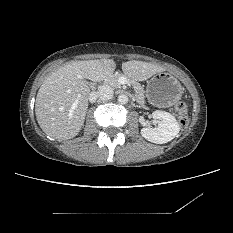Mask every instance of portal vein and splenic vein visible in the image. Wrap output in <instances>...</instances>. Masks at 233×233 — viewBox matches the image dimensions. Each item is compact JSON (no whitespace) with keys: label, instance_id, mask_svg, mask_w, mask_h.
Returning a JSON list of instances; mask_svg holds the SVG:
<instances>
[{"label":"portal vein and splenic vein","instance_id":"18ae733b","mask_svg":"<svg viewBox=\"0 0 233 233\" xmlns=\"http://www.w3.org/2000/svg\"><path fill=\"white\" fill-rule=\"evenodd\" d=\"M78 103H79V101H78V99H77V100L72 104V106H71V110H72V111L75 110V109L77 108Z\"/></svg>","mask_w":233,"mask_h":233}]
</instances>
